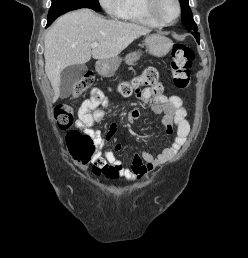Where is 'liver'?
<instances>
[{
	"mask_svg": "<svg viewBox=\"0 0 248 258\" xmlns=\"http://www.w3.org/2000/svg\"><path fill=\"white\" fill-rule=\"evenodd\" d=\"M140 25L106 20L90 9H80L59 17L45 36V73L60 96L61 72L68 66L117 57L135 39L150 33ZM92 43L99 46L91 48Z\"/></svg>",
	"mask_w": 248,
	"mask_h": 258,
	"instance_id": "obj_1",
	"label": "liver"
}]
</instances>
